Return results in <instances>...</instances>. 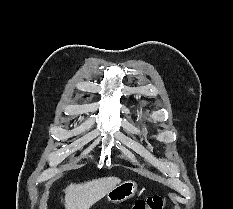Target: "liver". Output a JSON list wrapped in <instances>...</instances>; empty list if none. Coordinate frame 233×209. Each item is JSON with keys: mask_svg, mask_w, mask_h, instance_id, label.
I'll return each mask as SVG.
<instances>
[{"mask_svg": "<svg viewBox=\"0 0 233 209\" xmlns=\"http://www.w3.org/2000/svg\"><path fill=\"white\" fill-rule=\"evenodd\" d=\"M117 177H103L81 184H70L65 189V209H90L117 186Z\"/></svg>", "mask_w": 233, "mask_h": 209, "instance_id": "liver-1", "label": "liver"}]
</instances>
